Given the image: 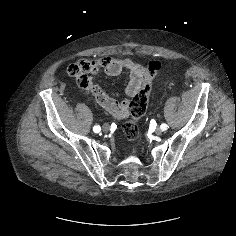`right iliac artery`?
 I'll use <instances>...</instances> for the list:
<instances>
[{
  "label": "right iliac artery",
  "mask_w": 236,
  "mask_h": 236,
  "mask_svg": "<svg viewBox=\"0 0 236 236\" xmlns=\"http://www.w3.org/2000/svg\"><path fill=\"white\" fill-rule=\"evenodd\" d=\"M100 130H101V127H100L99 125H96V126L93 127V131H94L95 133L100 132Z\"/></svg>",
  "instance_id": "1"
}]
</instances>
